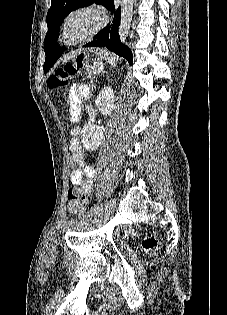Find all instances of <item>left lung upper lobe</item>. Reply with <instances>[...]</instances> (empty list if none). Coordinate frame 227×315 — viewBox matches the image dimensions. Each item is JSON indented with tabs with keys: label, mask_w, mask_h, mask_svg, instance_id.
I'll return each mask as SVG.
<instances>
[{
	"label": "left lung upper lobe",
	"mask_w": 227,
	"mask_h": 315,
	"mask_svg": "<svg viewBox=\"0 0 227 315\" xmlns=\"http://www.w3.org/2000/svg\"><path fill=\"white\" fill-rule=\"evenodd\" d=\"M109 0H51V7L47 13L48 32L45 36L44 47L50 42H57L59 27L64 18L73 10L87 7L93 3L107 6ZM45 72V71H44Z\"/></svg>",
	"instance_id": "left-lung-upper-lobe-1"
}]
</instances>
